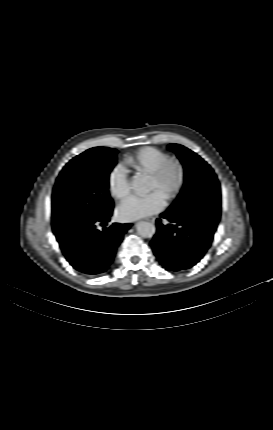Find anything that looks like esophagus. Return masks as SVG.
Masks as SVG:
<instances>
[{"instance_id":"1","label":"esophagus","mask_w":273,"mask_h":430,"mask_svg":"<svg viewBox=\"0 0 273 430\" xmlns=\"http://www.w3.org/2000/svg\"><path fill=\"white\" fill-rule=\"evenodd\" d=\"M147 220L150 221V222H152V223H154L155 218L151 217V218H147Z\"/></svg>"}]
</instances>
